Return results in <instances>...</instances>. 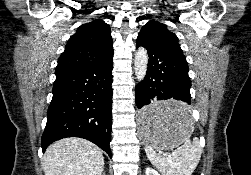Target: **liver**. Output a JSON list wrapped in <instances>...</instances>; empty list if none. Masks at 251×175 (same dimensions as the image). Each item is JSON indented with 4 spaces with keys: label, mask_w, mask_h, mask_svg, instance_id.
<instances>
[{
    "label": "liver",
    "mask_w": 251,
    "mask_h": 175,
    "mask_svg": "<svg viewBox=\"0 0 251 175\" xmlns=\"http://www.w3.org/2000/svg\"><path fill=\"white\" fill-rule=\"evenodd\" d=\"M103 167L100 147L81 137L59 139L43 155L45 175H101Z\"/></svg>",
    "instance_id": "1"
}]
</instances>
